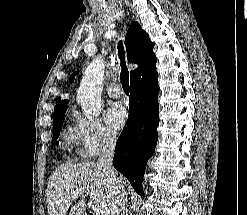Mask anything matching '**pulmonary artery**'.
Returning a JSON list of instances; mask_svg holds the SVG:
<instances>
[{"mask_svg": "<svg viewBox=\"0 0 247 215\" xmlns=\"http://www.w3.org/2000/svg\"><path fill=\"white\" fill-rule=\"evenodd\" d=\"M107 93L112 98H120L123 95L121 87L116 83L111 84L107 88Z\"/></svg>", "mask_w": 247, "mask_h": 215, "instance_id": "obj_1", "label": "pulmonary artery"}]
</instances>
